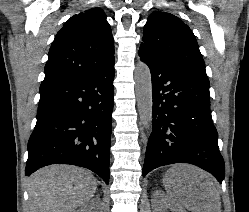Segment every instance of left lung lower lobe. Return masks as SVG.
I'll return each instance as SVG.
<instances>
[{
    "label": "left lung lower lobe",
    "instance_id": "1",
    "mask_svg": "<svg viewBox=\"0 0 249 212\" xmlns=\"http://www.w3.org/2000/svg\"><path fill=\"white\" fill-rule=\"evenodd\" d=\"M140 57L150 68L153 92V126L143 176L159 166L183 162L222 182L224 160L211 117L208 78L163 60Z\"/></svg>",
    "mask_w": 249,
    "mask_h": 212
}]
</instances>
